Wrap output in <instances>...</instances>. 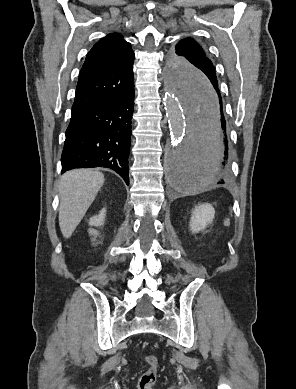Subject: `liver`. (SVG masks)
Segmentation results:
<instances>
[{"label": "liver", "mask_w": 296, "mask_h": 389, "mask_svg": "<svg viewBox=\"0 0 296 389\" xmlns=\"http://www.w3.org/2000/svg\"><path fill=\"white\" fill-rule=\"evenodd\" d=\"M104 181V175L92 169L71 170L61 177L59 226L65 238H69L81 222Z\"/></svg>", "instance_id": "6515ba94"}]
</instances>
